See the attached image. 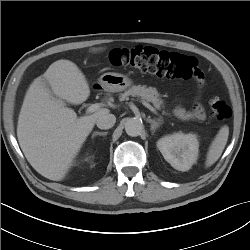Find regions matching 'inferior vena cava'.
<instances>
[{
  "label": "inferior vena cava",
  "mask_w": 250,
  "mask_h": 250,
  "mask_svg": "<svg viewBox=\"0 0 250 250\" xmlns=\"http://www.w3.org/2000/svg\"><path fill=\"white\" fill-rule=\"evenodd\" d=\"M116 117L113 114L107 113L98 117L96 125L100 129H109L114 126Z\"/></svg>",
  "instance_id": "1"
}]
</instances>
